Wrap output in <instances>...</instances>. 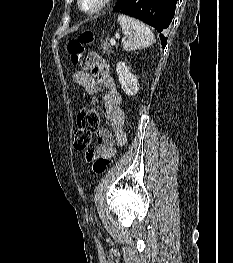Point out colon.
<instances>
[{"label":"colon","instance_id":"colon-1","mask_svg":"<svg viewBox=\"0 0 233 263\" xmlns=\"http://www.w3.org/2000/svg\"><path fill=\"white\" fill-rule=\"evenodd\" d=\"M94 41V36L90 31H85L79 37L69 41L67 45L68 53L70 54L71 63L78 65L82 59L85 45ZM99 114L96 110L90 107L82 108L77 115V127L74 132L73 145L77 151H86L94 134L99 130ZM87 158L92 159L90 151L87 153ZM113 157H98L93 163V171L95 174H102L111 164Z\"/></svg>","mask_w":233,"mask_h":263}]
</instances>
